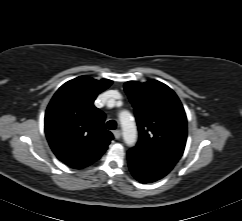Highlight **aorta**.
Listing matches in <instances>:
<instances>
[{
	"mask_svg": "<svg viewBox=\"0 0 242 221\" xmlns=\"http://www.w3.org/2000/svg\"><path fill=\"white\" fill-rule=\"evenodd\" d=\"M119 120L123 131L124 142L128 146H133L137 140V129L131 114L128 111H123L119 115Z\"/></svg>",
	"mask_w": 242,
	"mask_h": 221,
	"instance_id": "1",
	"label": "aorta"
}]
</instances>
